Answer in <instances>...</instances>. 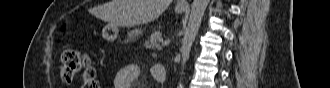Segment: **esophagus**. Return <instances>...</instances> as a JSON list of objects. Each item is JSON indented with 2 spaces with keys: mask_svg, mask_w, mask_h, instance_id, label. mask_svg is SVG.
<instances>
[{
  "mask_svg": "<svg viewBox=\"0 0 330 88\" xmlns=\"http://www.w3.org/2000/svg\"><path fill=\"white\" fill-rule=\"evenodd\" d=\"M178 4L182 5V6H187L188 2L186 0H180V1H178Z\"/></svg>",
  "mask_w": 330,
  "mask_h": 88,
  "instance_id": "esophagus-1",
  "label": "esophagus"
}]
</instances>
